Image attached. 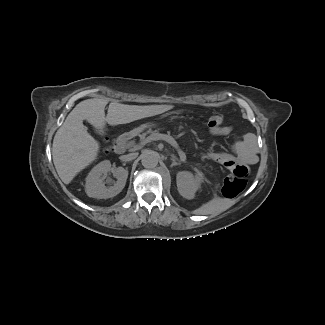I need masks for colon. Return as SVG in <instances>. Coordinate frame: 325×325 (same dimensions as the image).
Returning <instances> with one entry per match:
<instances>
[{
  "label": "colon",
  "instance_id": "colon-1",
  "mask_svg": "<svg viewBox=\"0 0 325 325\" xmlns=\"http://www.w3.org/2000/svg\"><path fill=\"white\" fill-rule=\"evenodd\" d=\"M223 119L220 116H213L209 119V128L219 129ZM250 170L245 165H236L232 170V174L228 176L222 187V193L225 197L234 198L240 194L248 183Z\"/></svg>",
  "mask_w": 325,
  "mask_h": 325
}]
</instances>
